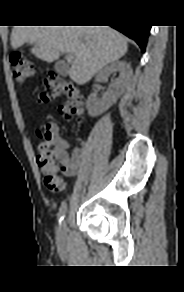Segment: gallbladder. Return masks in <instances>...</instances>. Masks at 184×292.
Here are the masks:
<instances>
[{
    "label": "gallbladder",
    "mask_w": 184,
    "mask_h": 292,
    "mask_svg": "<svg viewBox=\"0 0 184 292\" xmlns=\"http://www.w3.org/2000/svg\"><path fill=\"white\" fill-rule=\"evenodd\" d=\"M54 68L57 71V73H59L62 76H66L69 73V66L61 62H57Z\"/></svg>",
    "instance_id": "bac80fb5"
}]
</instances>
